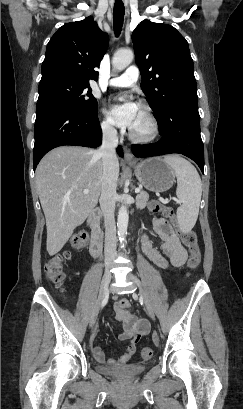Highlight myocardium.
Here are the masks:
<instances>
[{"instance_id": "myocardium-1", "label": "myocardium", "mask_w": 243, "mask_h": 409, "mask_svg": "<svg viewBox=\"0 0 243 409\" xmlns=\"http://www.w3.org/2000/svg\"><path fill=\"white\" fill-rule=\"evenodd\" d=\"M138 107L142 108L148 119L150 130L146 135H138L129 130V138L137 143H150L155 141L160 135V124L151 107L145 102H139Z\"/></svg>"}]
</instances>
